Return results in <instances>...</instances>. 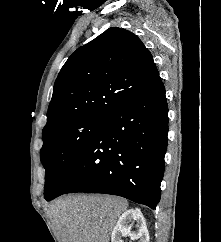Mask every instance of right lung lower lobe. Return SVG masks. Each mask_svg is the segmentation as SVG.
Returning a JSON list of instances; mask_svg holds the SVG:
<instances>
[{
  "label": "right lung lower lobe",
  "mask_w": 221,
  "mask_h": 242,
  "mask_svg": "<svg viewBox=\"0 0 221 242\" xmlns=\"http://www.w3.org/2000/svg\"><path fill=\"white\" fill-rule=\"evenodd\" d=\"M168 106L158 76L103 118L49 194L105 193L156 208L167 148Z\"/></svg>",
  "instance_id": "obj_1"
}]
</instances>
